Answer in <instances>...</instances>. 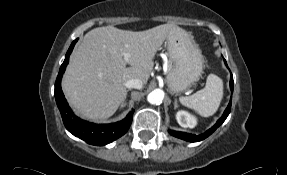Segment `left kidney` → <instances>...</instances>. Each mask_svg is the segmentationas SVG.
Here are the masks:
<instances>
[{"label":"left kidney","instance_id":"obj_1","mask_svg":"<svg viewBox=\"0 0 287 175\" xmlns=\"http://www.w3.org/2000/svg\"><path fill=\"white\" fill-rule=\"evenodd\" d=\"M176 119L179 125L182 127L193 128L197 124L196 118L183 110L177 112Z\"/></svg>","mask_w":287,"mask_h":175}]
</instances>
